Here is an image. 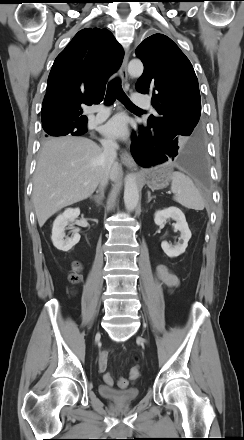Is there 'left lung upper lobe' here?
Returning <instances> with one entry per match:
<instances>
[{
  "instance_id": "5c2ea615",
  "label": "left lung upper lobe",
  "mask_w": 244,
  "mask_h": 440,
  "mask_svg": "<svg viewBox=\"0 0 244 440\" xmlns=\"http://www.w3.org/2000/svg\"><path fill=\"white\" fill-rule=\"evenodd\" d=\"M136 55L144 64L136 90L152 95L157 111L155 116L150 115L147 124L157 125L174 141L181 136H190V140L202 136L198 79L189 59L163 34L143 40Z\"/></svg>"
}]
</instances>
